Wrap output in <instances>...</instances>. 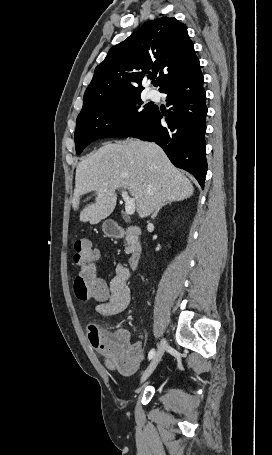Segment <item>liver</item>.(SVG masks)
I'll return each mask as SVG.
<instances>
[{"label":"liver","mask_w":272,"mask_h":455,"mask_svg":"<svg viewBox=\"0 0 272 455\" xmlns=\"http://www.w3.org/2000/svg\"><path fill=\"white\" fill-rule=\"evenodd\" d=\"M127 189L136 202L140 218L149 216L162 203L182 201L194 188L154 143L126 140L106 143L77 166L72 199L78 210L80 198L96 193L95 202L80 212V221L98 223L114 210L116 190Z\"/></svg>","instance_id":"obj_1"}]
</instances>
